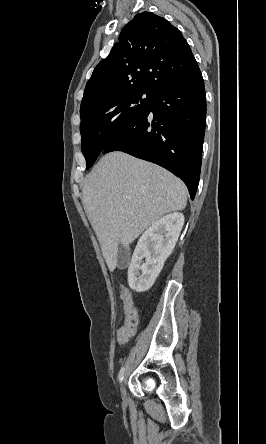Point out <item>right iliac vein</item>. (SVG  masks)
Returning a JSON list of instances; mask_svg holds the SVG:
<instances>
[{"label": "right iliac vein", "instance_id": "1", "mask_svg": "<svg viewBox=\"0 0 266 444\" xmlns=\"http://www.w3.org/2000/svg\"><path fill=\"white\" fill-rule=\"evenodd\" d=\"M121 393H122L123 396H125V394H126L125 382H123L122 385H121Z\"/></svg>", "mask_w": 266, "mask_h": 444}]
</instances>
